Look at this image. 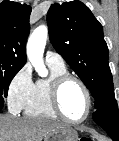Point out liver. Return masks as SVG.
<instances>
[{"label":"liver","instance_id":"liver-1","mask_svg":"<svg viewBox=\"0 0 119 141\" xmlns=\"http://www.w3.org/2000/svg\"><path fill=\"white\" fill-rule=\"evenodd\" d=\"M64 126L62 123L43 118L0 115V141H42Z\"/></svg>","mask_w":119,"mask_h":141}]
</instances>
